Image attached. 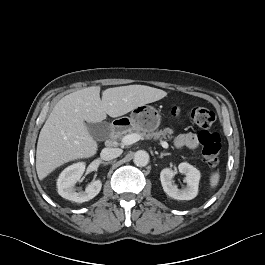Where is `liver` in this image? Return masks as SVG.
Instances as JSON below:
<instances>
[{
    "mask_svg": "<svg viewBox=\"0 0 265 265\" xmlns=\"http://www.w3.org/2000/svg\"><path fill=\"white\" fill-rule=\"evenodd\" d=\"M167 93L145 85L108 88L91 86L64 96L53 108L40 131L36 171L43 180L61 165L97 153L98 144L85 123H99L122 116L134 108L164 98Z\"/></svg>",
    "mask_w": 265,
    "mask_h": 265,
    "instance_id": "1",
    "label": "liver"
}]
</instances>
